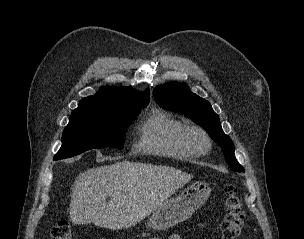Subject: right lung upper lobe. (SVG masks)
I'll use <instances>...</instances> for the list:
<instances>
[{"mask_svg":"<svg viewBox=\"0 0 304 239\" xmlns=\"http://www.w3.org/2000/svg\"><path fill=\"white\" fill-rule=\"evenodd\" d=\"M149 89L139 92L131 87H102L94 96L82 99L72 114L117 113L129 107H146Z\"/></svg>","mask_w":304,"mask_h":239,"instance_id":"cb5924a9","label":"right lung upper lobe"}]
</instances>
